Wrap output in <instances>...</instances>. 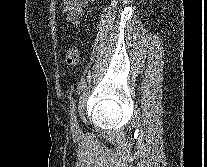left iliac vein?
Masks as SVG:
<instances>
[{
  "mask_svg": "<svg viewBox=\"0 0 207 167\" xmlns=\"http://www.w3.org/2000/svg\"><path fill=\"white\" fill-rule=\"evenodd\" d=\"M71 130L73 135H77L80 132V127L76 115H73L71 118Z\"/></svg>",
  "mask_w": 207,
  "mask_h": 167,
  "instance_id": "left-iliac-vein-1",
  "label": "left iliac vein"
}]
</instances>
